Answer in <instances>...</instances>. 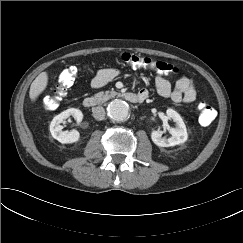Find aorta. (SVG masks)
<instances>
[{
  "label": "aorta",
  "instance_id": "762f6f07",
  "mask_svg": "<svg viewBox=\"0 0 243 243\" xmlns=\"http://www.w3.org/2000/svg\"><path fill=\"white\" fill-rule=\"evenodd\" d=\"M107 114L114 121H123L128 117L129 106L124 100L114 99L108 104Z\"/></svg>",
  "mask_w": 243,
  "mask_h": 243
}]
</instances>
